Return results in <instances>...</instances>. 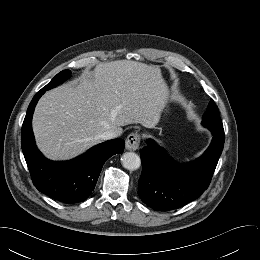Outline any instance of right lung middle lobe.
<instances>
[{"label":"right lung middle lobe","mask_w":260,"mask_h":260,"mask_svg":"<svg viewBox=\"0 0 260 260\" xmlns=\"http://www.w3.org/2000/svg\"><path fill=\"white\" fill-rule=\"evenodd\" d=\"M71 71L70 70H64L58 73L51 81L48 83L45 87H43L44 90H49L60 83H62L64 80H66L70 76Z\"/></svg>","instance_id":"right-lung-middle-lobe-1"}]
</instances>
